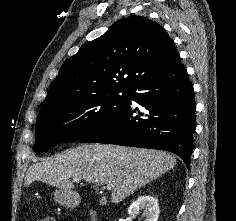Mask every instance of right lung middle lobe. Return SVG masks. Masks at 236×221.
<instances>
[{"instance_id":"1","label":"right lung middle lobe","mask_w":236,"mask_h":221,"mask_svg":"<svg viewBox=\"0 0 236 221\" xmlns=\"http://www.w3.org/2000/svg\"><path fill=\"white\" fill-rule=\"evenodd\" d=\"M130 90L84 96L63 105L40 110L35 127V152L53 144L82 139L102 127L128 102Z\"/></svg>"}]
</instances>
